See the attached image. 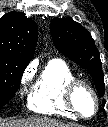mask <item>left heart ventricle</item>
Listing matches in <instances>:
<instances>
[{
  "instance_id": "left-heart-ventricle-1",
  "label": "left heart ventricle",
  "mask_w": 108,
  "mask_h": 127,
  "mask_svg": "<svg viewBox=\"0 0 108 127\" xmlns=\"http://www.w3.org/2000/svg\"><path fill=\"white\" fill-rule=\"evenodd\" d=\"M76 104L84 114H91L94 109L92 96L85 90H80L76 95Z\"/></svg>"
}]
</instances>
